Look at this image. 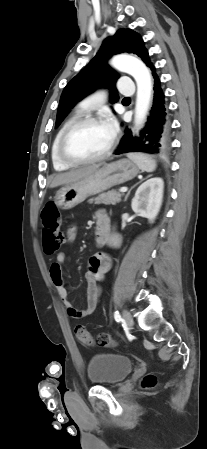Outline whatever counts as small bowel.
<instances>
[{
    "label": "small bowel",
    "instance_id": "1",
    "mask_svg": "<svg viewBox=\"0 0 207 449\" xmlns=\"http://www.w3.org/2000/svg\"><path fill=\"white\" fill-rule=\"evenodd\" d=\"M96 225L100 222L106 229L104 244L116 245L118 238L111 234L112 221L108 214L100 210L95 214ZM75 227L70 226L67 231V242L70 244L75 238ZM67 261V256L60 252L56 255L55 261L50 266V276L57 289L58 295L62 300L68 316L74 319H83L92 314L99 303L101 288L99 282L103 280L105 274L110 268V259L104 254H95L89 260L88 270L86 272V281L88 286V302L84 309H77L73 306L68 297V291L64 284L62 265Z\"/></svg>",
    "mask_w": 207,
    "mask_h": 449
}]
</instances>
